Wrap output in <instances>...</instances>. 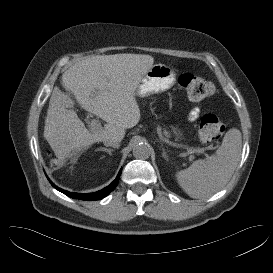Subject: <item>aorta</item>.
<instances>
[{"mask_svg": "<svg viewBox=\"0 0 273 273\" xmlns=\"http://www.w3.org/2000/svg\"><path fill=\"white\" fill-rule=\"evenodd\" d=\"M133 156L136 159H148L151 154V148L148 144L146 143H137L133 147Z\"/></svg>", "mask_w": 273, "mask_h": 273, "instance_id": "aorta-1", "label": "aorta"}]
</instances>
